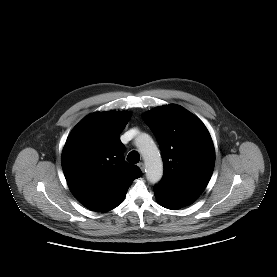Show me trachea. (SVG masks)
I'll list each match as a JSON object with an SVG mask.
<instances>
[{
    "mask_svg": "<svg viewBox=\"0 0 277 277\" xmlns=\"http://www.w3.org/2000/svg\"><path fill=\"white\" fill-rule=\"evenodd\" d=\"M127 161L136 164L140 161V155L137 151H131L127 156Z\"/></svg>",
    "mask_w": 277,
    "mask_h": 277,
    "instance_id": "1",
    "label": "trachea"
}]
</instances>
